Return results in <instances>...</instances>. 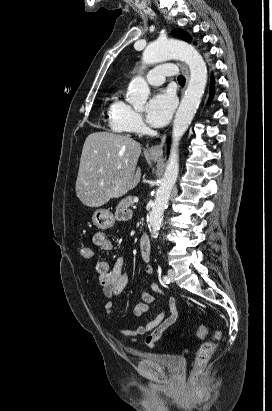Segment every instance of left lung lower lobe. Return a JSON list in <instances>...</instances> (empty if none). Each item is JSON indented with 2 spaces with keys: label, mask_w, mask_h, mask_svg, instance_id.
<instances>
[{
  "label": "left lung lower lobe",
  "mask_w": 272,
  "mask_h": 411,
  "mask_svg": "<svg viewBox=\"0 0 272 411\" xmlns=\"http://www.w3.org/2000/svg\"><path fill=\"white\" fill-rule=\"evenodd\" d=\"M213 88H214V82H213V80L211 81V86H210V94H211V97L210 98H212V95H213Z\"/></svg>",
  "instance_id": "obj_1"
}]
</instances>
